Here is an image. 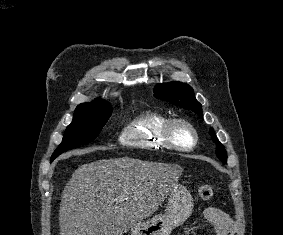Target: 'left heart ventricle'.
<instances>
[{"mask_svg":"<svg viewBox=\"0 0 283 235\" xmlns=\"http://www.w3.org/2000/svg\"><path fill=\"white\" fill-rule=\"evenodd\" d=\"M175 140L180 145H190L192 142V136L191 134L182 127H178L175 130Z\"/></svg>","mask_w":283,"mask_h":235,"instance_id":"left-heart-ventricle-1","label":"left heart ventricle"}]
</instances>
